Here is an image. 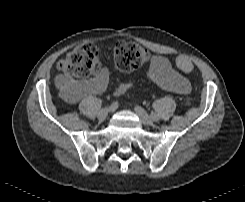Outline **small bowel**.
I'll return each mask as SVG.
<instances>
[{
    "label": "small bowel",
    "mask_w": 245,
    "mask_h": 202,
    "mask_svg": "<svg viewBox=\"0 0 245 202\" xmlns=\"http://www.w3.org/2000/svg\"><path fill=\"white\" fill-rule=\"evenodd\" d=\"M185 62L191 63L186 57L178 56L175 60L177 68L182 70L181 65ZM183 71V70H182ZM109 71L105 68L100 69L97 74L82 81H76L71 90L66 104L74 105L82 99L104 92L109 83ZM142 81H150L158 86L177 94H185L190 90V82L182 74L178 73L172 64L162 56H153L147 72ZM127 83H118L113 88L114 95H120L128 89Z\"/></svg>",
    "instance_id": "obj_1"
}]
</instances>
